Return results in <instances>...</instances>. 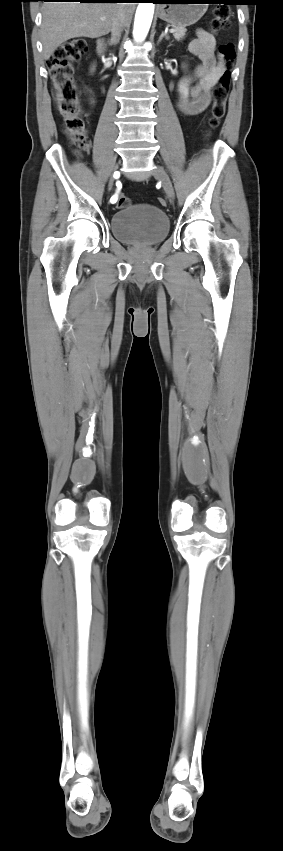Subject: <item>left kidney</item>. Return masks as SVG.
Listing matches in <instances>:
<instances>
[{"mask_svg": "<svg viewBox=\"0 0 283 851\" xmlns=\"http://www.w3.org/2000/svg\"><path fill=\"white\" fill-rule=\"evenodd\" d=\"M179 88H180V91L183 93L184 96H186L188 94V84L185 80L180 82Z\"/></svg>", "mask_w": 283, "mask_h": 851, "instance_id": "5707ae66", "label": "left kidney"}]
</instances>
